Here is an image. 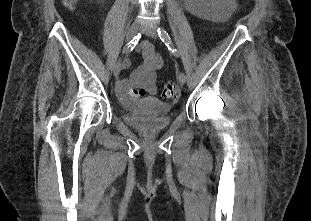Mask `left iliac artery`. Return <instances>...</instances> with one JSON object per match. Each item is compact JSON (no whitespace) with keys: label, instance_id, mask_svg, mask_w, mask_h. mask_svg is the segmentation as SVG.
<instances>
[{"label":"left iliac artery","instance_id":"44dca946","mask_svg":"<svg viewBox=\"0 0 311 221\" xmlns=\"http://www.w3.org/2000/svg\"><path fill=\"white\" fill-rule=\"evenodd\" d=\"M158 35L162 42L165 43V45L168 47V49L175 55L179 56L178 50L174 47L172 39L170 38L168 32L164 30L162 27H159L158 30Z\"/></svg>","mask_w":311,"mask_h":221}]
</instances>
